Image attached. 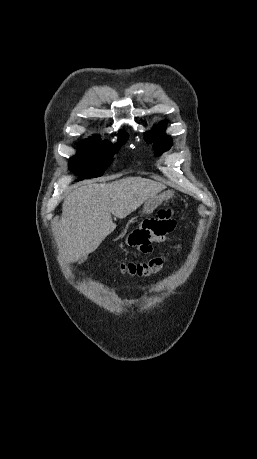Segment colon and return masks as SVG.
<instances>
[{"mask_svg": "<svg viewBox=\"0 0 257 459\" xmlns=\"http://www.w3.org/2000/svg\"><path fill=\"white\" fill-rule=\"evenodd\" d=\"M132 246L135 245L132 244ZM166 260L167 258L165 256H158L145 262H124L120 264V269L123 272L128 273L132 276L148 277L150 275L158 273L163 268Z\"/></svg>", "mask_w": 257, "mask_h": 459, "instance_id": "colon-1", "label": "colon"}]
</instances>
